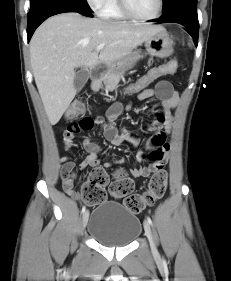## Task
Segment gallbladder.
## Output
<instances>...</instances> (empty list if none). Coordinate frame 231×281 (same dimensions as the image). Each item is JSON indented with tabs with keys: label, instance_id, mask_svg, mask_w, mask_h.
<instances>
[{
	"label": "gallbladder",
	"instance_id": "obj_1",
	"mask_svg": "<svg viewBox=\"0 0 231 281\" xmlns=\"http://www.w3.org/2000/svg\"><path fill=\"white\" fill-rule=\"evenodd\" d=\"M88 78H89V73L84 69H81L75 73L74 87L76 91L79 92L84 87Z\"/></svg>",
	"mask_w": 231,
	"mask_h": 281
}]
</instances>
